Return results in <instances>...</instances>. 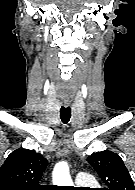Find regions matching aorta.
Instances as JSON below:
<instances>
[{
  "mask_svg": "<svg viewBox=\"0 0 135 190\" xmlns=\"http://www.w3.org/2000/svg\"><path fill=\"white\" fill-rule=\"evenodd\" d=\"M54 182L60 186H72V180L69 174L67 163L60 162L54 169Z\"/></svg>",
  "mask_w": 135,
  "mask_h": 190,
  "instance_id": "obj_1",
  "label": "aorta"
}]
</instances>
